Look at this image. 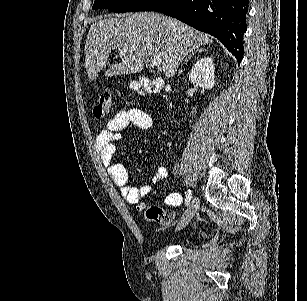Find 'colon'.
<instances>
[{"instance_id": "colon-1", "label": "colon", "mask_w": 307, "mask_h": 301, "mask_svg": "<svg viewBox=\"0 0 307 301\" xmlns=\"http://www.w3.org/2000/svg\"><path fill=\"white\" fill-rule=\"evenodd\" d=\"M131 89L138 95H143L146 92H160L164 87L157 80H142L133 83ZM111 110V94L109 91H103L93 109L94 116L97 119H103L110 114ZM145 218L149 222L168 226L174 220V213L159 206H150L145 211Z\"/></svg>"}]
</instances>
